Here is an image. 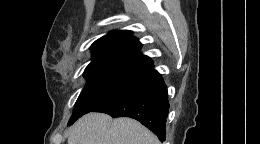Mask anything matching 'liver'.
I'll return each mask as SVG.
<instances>
[{
    "mask_svg": "<svg viewBox=\"0 0 260 144\" xmlns=\"http://www.w3.org/2000/svg\"><path fill=\"white\" fill-rule=\"evenodd\" d=\"M68 144H160V141L134 119L89 113L70 129Z\"/></svg>",
    "mask_w": 260,
    "mask_h": 144,
    "instance_id": "obj_1",
    "label": "liver"
}]
</instances>
